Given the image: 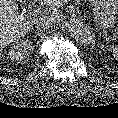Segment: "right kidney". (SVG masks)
I'll return each instance as SVG.
<instances>
[{
  "label": "right kidney",
  "instance_id": "right-kidney-1",
  "mask_svg": "<svg viewBox=\"0 0 118 118\" xmlns=\"http://www.w3.org/2000/svg\"><path fill=\"white\" fill-rule=\"evenodd\" d=\"M34 50V45L26 40V41H17L15 44L11 47V49L8 52V56L16 61H22L23 59L28 58Z\"/></svg>",
  "mask_w": 118,
  "mask_h": 118
}]
</instances>
